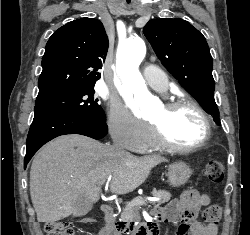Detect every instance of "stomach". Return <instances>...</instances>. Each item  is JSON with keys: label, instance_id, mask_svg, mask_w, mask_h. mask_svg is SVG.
I'll use <instances>...</instances> for the list:
<instances>
[{"label": "stomach", "instance_id": "obj_1", "mask_svg": "<svg viewBox=\"0 0 250 235\" xmlns=\"http://www.w3.org/2000/svg\"><path fill=\"white\" fill-rule=\"evenodd\" d=\"M192 174L191 168L183 162H175L168 167V182L173 187L184 185Z\"/></svg>", "mask_w": 250, "mask_h": 235}]
</instances>
